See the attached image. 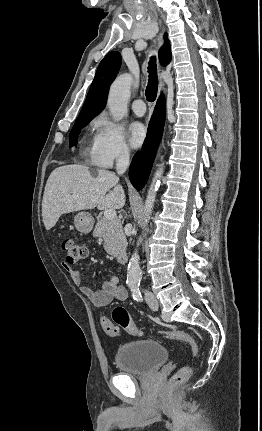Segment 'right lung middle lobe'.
<instances>
[{"label":"right lung middle lobe","mask_w":262,"mask_h":431,"mask_svg":"<svg viewBox=\"0 0 262 431\" xmlns=\"http://www.w3.org/2000/svg\"><path fill=\"white\" fill-rule=\"evenodd\" d=\"M92 118H77L69 137L70 146L76 145L80 130L85 127Z\"/></svg>","instance_id":"obj_1"}]
</instances>
